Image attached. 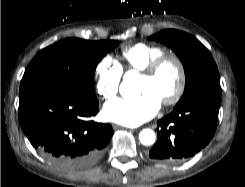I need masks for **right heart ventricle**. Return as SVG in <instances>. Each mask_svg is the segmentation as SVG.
Listing matches in <instances>:
<instances>
[{"label": "right heart ventricle", "instance_id": "e07e8e85", "mask_svg": "<svg viewBox=\"0 0 245 187\" xmlns=\"http://www.w3.org/2000/svg\"><path fill=\"white\" fill-rule=\"evenodd\" d=\"M165 52L161 46L141 42L125 46L120 53L124 62L122 67L128 71H142L150 61Z\"/></svg>", "mask_w": 245, "mask_h": 187}]
</instances>
